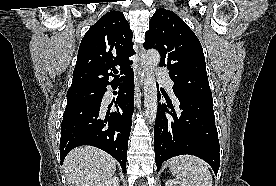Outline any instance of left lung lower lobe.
<instances>
[{
  "mask_svg": "<svg viewBox=\"0 0 276 186\" xmlns=\"http://www.w3.org/2000/svg\"><path fill=\"white\" fill-rule=\"evenodd\" d=\"M176 97L179 101L178 107L167 102L160 104L157 110L154 149L158 170L171 157L189 154L206 161L217 175L220 155L213 99ZM161 98L158 93V99Z\"/></svg>",
  "mask_w": 276,
  "mask_h": 186,
  "instance_id": "left-lung-lower-lobe-1",
  "label": "left lung lower lobe"
}]
</instances>
